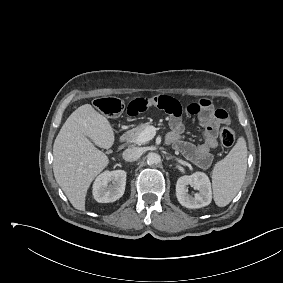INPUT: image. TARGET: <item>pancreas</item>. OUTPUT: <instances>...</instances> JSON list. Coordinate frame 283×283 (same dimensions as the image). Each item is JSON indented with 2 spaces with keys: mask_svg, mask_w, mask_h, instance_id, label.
<instances>
[{
  "mask_svg": "<svg viewBox=\"0 0 283 283\" xmlns=\"http://www.w3.org/2000/svg\"><path fill=\"white\" fill-rule=\"evenodd\" d=\"M151 126V123L150 122H147V123H143V124H140L139 126H137L136 128H133L132 130H129L127 132V136L129 138L130 141H133L135 142L138 138V136L145 130L147 129L148 127Z\"/></svg>",
  "mask_w": 283,
  "mask_h": 283,
  "instance_id": "pancreas-1",
  "label": "pancreas"
}]
</instances>
